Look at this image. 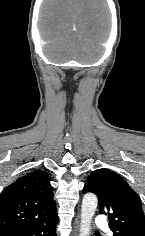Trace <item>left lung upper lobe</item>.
Wrapping results in <instances>:
<instances>
[{
	"mask_svg": "<svg viewBox=\"0 0 145 236\" xmlns=\"http://www.w3.org/2000/svg\"><path fill=\"white\" fill-rule=\"evenodd\" d=\"M98 196L99 211L108 216L113 236H145V217L136 192L118 174L98 169L90 174L83 193Z\"/></svg>",
	"mask_w": 145,
	"mask_h": 236,
	"instance_id": "1",
	"label": "left lung upper lobe"
}]
</instances>
